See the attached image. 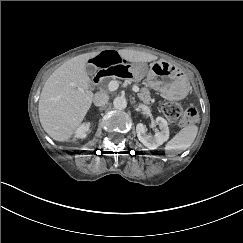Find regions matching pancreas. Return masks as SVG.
Returning a JSON list of instances; mask_svg holds the SVG:
<instances>
[{"label":"pancreas","mask_w":243,"mask_h":243,"mask_svg":"<svg viewBox=\"0 0 243 243\" xmlns=\"http://www.w3.org/2000/svg\"><path fill=\"white\" fill-rule=\"evenodd\" d=\"M137 96L141 101H143V103L150 104L151 101L150 92L146 87L141 88Z\"/></svg>","instance_id":"cf45deb5"}]
</instances>
